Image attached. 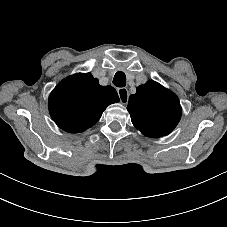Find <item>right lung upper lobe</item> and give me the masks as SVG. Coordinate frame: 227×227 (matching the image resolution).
<instances>
[{
	"label": "right lung upper lobe",
	"instance_id": "1",
	"mask_svg": "<svg viewBox=\"0 0 227 227\" xmlns=\"http://www.w3.org/2000/svg\"><path fill=\"white\" fill-rule=\"evenodd\" d=\"M119 102L116 90L100 86L91 73H78L62 80L49 96V112L58 127L69 133L92 127L106 107Z\"/></svg>",
	"mask_w": 227,
	"mask_h": 227
}]
</instances>
